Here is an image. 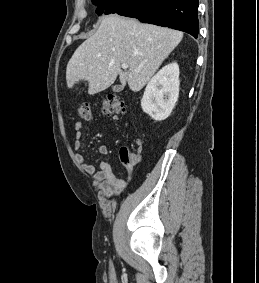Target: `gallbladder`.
Masks as SVG:
<instances>
[{
  "label": "gallbladder",
  "instance_id": "1",
  "mask_svg": "<svg viewBox=\"0 0 259 283\" xmlns=\"http://www.w3.org/2000/svg\"><path fill=\"white\" fill-rule=\"evenodd\" d=\"M122 89H123V86L120 84H116L112 87L113 92H116V93L121 92Z\"/></svg>",
  "mask_w": 259,
  "mask_h": 283
}]
</instances>
